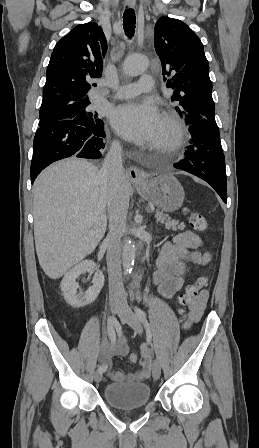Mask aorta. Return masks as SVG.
<instances>
[{"instance_id":"1","label":"aorta","mask_w":259,"mask_h":448,"mask_svg":"<svg viewBox=\"0 0 259 448\" xmlns=\"http://www.w3.org/2000/svg\"><path fill=\"white\" fill-rule=\"evenodd\" d=\"M148 67V60L142 55L128 56L123 65V70L128 76H138ZM136 248L133 240L128 239L122 250L123 269L126 274L131 273L134 266Z\"/></svg>"}]
</instances>
